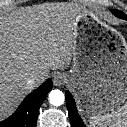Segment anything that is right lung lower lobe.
<instances>
[{"label": "right lung lower lobe", "instance_id": "1", "mask_svg": "<svg viewBox=\"0 0 127 127\" xmlns=\"http://www.w3.org/2000/svg\"><path fill=\"white\" fill-rule=\"evenodd\" d=\"M51 89L52 80L48 79L29 94L8 119L0 122V127H36L39 108Z\"/></svg>", "mask_w": 127, "mask_h": 127}]
</instances>
